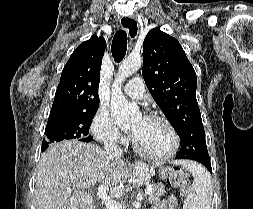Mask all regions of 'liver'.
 I'll use <instances>...</instances> for the list:
<instances>
[{"instance_id": "6515ba94", "label": "liver", "mask_w": 253, "mask_h": 209, "mask_svg": "<svg viewBox=\"0 0 253 209\" xmlns=\"http://www.w3.org/2000/svg\"><path fill=\"white\" fill-rule=\"evenodd\" d=\"M150 177L144 164L129 171L124 161L109 159L99 147L79 141L51 145L41 156L35 178L37 209H96L87 193L96 184L120 197L124 187L140 186Z\"/></svg>"}]
</instances>
